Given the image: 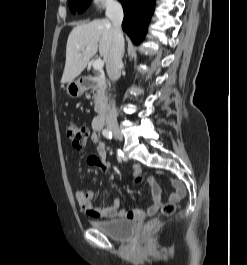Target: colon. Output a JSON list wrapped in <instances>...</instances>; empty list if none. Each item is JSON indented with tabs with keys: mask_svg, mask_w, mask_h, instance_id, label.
Here are the masks:
<instances>
[{
	"mask_svg": "<svg viewBox=\"0 0 247 265\" xmlns=\"http://www.w3.org/2000/svg\"><path fill=\"white\" fill-rule=\"evenodd\" d=\"M66 133L74 148L80 150L86 146L89 138V130L87 127L83 125L70 124L66 128ZM145 179H147L151 184L154 182L151 177L140 176L136 179V183H140ZM175 210L176 204L172 201H169L162 206L161 213L164 216H171L174 214ZM157 223V220H152L147 224L146 228L151 230L157 225Z\"/></svg>",
	"mask_w": 247,
	"mask_h": 265,
	"instance_id": "obj_1",
	"label": "colon"
}]
</instances>
